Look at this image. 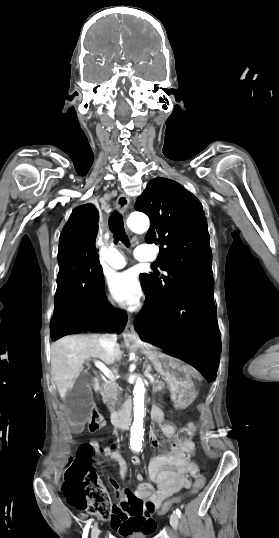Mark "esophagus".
Returning <instances> with one entry per match:
<instances>
[{"mask_svg":"<svg viewBox=\"0 0 279 538\" xmlns=\"http://www.w3.org/2000/svg\"><path fill=\"white\" fill-rule=\"evenodd\" d=\"M128 207H129V197L125 195L124 193H122L121 195H119V197L116 200V208L119 212H124L127 210ZM123 336L126 339H138L139 338L137 332L134 329L132 322L128 323L123 333Z\"/></svg>","mask_w":279,"mask_h":538,"instance_id":"1","label":"esophagus"}]
</instances>
